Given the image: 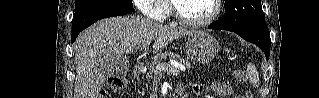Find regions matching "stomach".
<instances>
[{
    "mask_svg": "<svg viewBox=\"0 0 319 98\" xmlns=\"http://www.w3.org/2000/svg\"><path fill=\"white\" fill-rule=\"evenodd\" d=\"M219 48L215 38L204 32H195L189 35L185 53L195 63H208L216 56Z\"/></svg>",
    "mask_w": 319,
    "mask_h": 98,
    "instance_id": "0dacf381",
    "label": "stomach"
}]
</instances>
